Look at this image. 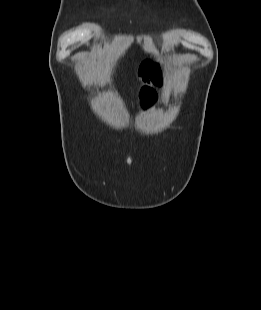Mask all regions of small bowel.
I'll return each mask as SVG.
<instances>
[{
	"mask_svg": "<svg viewBox=\"0 0 261 310\" xmlns=\"http://www.w3.org/2000/svg\"><path fill=\"white\" fill-rule=\"evenodd\" d=\"M142 76L149 85L142 89V97L146 103L155 97L154 87L162 86V77L157 65H145L142 69Z\"/></svg>",
	"mask_w": 261,
	"mask_h": 310,
	"instance_id": "c3829d8e",
	"label": "small bowel"
}]
</instances>
